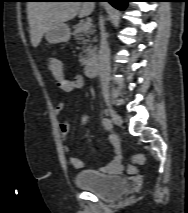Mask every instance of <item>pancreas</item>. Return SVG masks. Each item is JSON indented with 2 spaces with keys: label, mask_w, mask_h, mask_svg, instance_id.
Returning a JSON list of instances; mask_svg holds the SVG:
<instances>
[{
  "label": "pancreas",
  "mask_w": 188,
  "mask_h": 213,
  "mask_svg": "<svg viewBox=\"0 0 188 213\" xmlns=\"http://www.w3.org/2000/svg\"><path fill=\"white\" fill-rule=\"evenodd\" d=\"M83 25V23H78L74 26L73 36L84 44L83 53L80 55L79 61L82 65H86L96 57L97 49L92 46V42H95L96 39L91 40V35L95 33V30L92 29V25L89 29L84 30Z\"/></svg>",
  "instance_id": "pancreas-1"
}]
</instances>
